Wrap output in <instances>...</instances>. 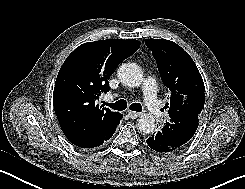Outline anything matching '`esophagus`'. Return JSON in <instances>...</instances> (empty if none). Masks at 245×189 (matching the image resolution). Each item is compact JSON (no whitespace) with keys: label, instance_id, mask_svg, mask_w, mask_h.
I'll return each instance as SVG.
<instances>
[{"label":"esophagus","instance_id":"obj_1","mask_svg":"<svg viewBox=\"0 0 245 189\" xmlns=\"http://www.w3.org/2000/svg\"><path fill=\"white\" fill-rule=\"evenodd\" d=\"M128 115L132 118V119H136L137 117H139L141 115V113L135 112V111H128Z\"/></svg>","mask_w":245,"mask_h":189}]
</instances>
